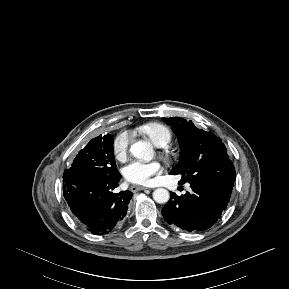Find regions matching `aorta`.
<instances>
[{
    "mask_svg": "<svg viewBox=\"0 0 289 289\" xmlns=\"http://www.w3.org/2000/svg\"><path fill=\"white\" fill-rule=\"evenodd\" d=\"M130 152L134 157L145 161L151 160L154 155L152 145L149 142L145 141H137L133 143L130 147ZM169 198L170 194L168 190L164 188H157L153 192V199L159 204L168 202Z\"/></svg>",
    "mask_w": 289,
    "mask_h": 289,
    "instance_id": "762f6f07",
    "label": "aorta"
}]
</instances>
